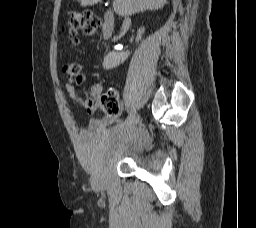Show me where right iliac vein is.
<instances>
[{
	"mask_svg": "<svg viewBox=\"0 0 256 228\" xmlns=\"http://www.w3.org/2000/svg\"><path fill=\"white\" fill-rule=\"evenodd\" d=\"M139 121V116H134L133 119L127 124L126 128L132 130Z\"/></svg>",
	"mask_w": 256,
	"mask_h": 228,
	"instance_id": "1",
	"label": "right iliac vein"
}]
</instances>
